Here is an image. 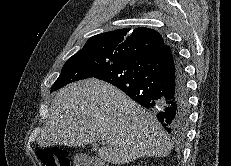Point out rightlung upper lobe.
Returning <instances> with one entry per match:
<instances>
[{
  "label": "right lung upper lobe",
  "instance_id": "cb5924a9",
  "mask_svg": "<svg viewBox=\"0 0 231 166\" xmlns=\"http://www.w3.org/2000/svg\"><path fill=\"white\" fill-rule=\"evenodd\" d=\"M165 42L157 31L146 27L118 29L91 37L83 49L94 50L123 60L157 50Z\"/></svg>",
  "mask_w": 231,
  "mask_h": 166
}]
</instances>
